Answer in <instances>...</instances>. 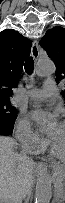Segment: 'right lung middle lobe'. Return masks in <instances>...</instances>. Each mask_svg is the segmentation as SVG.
I'll use <instances>...</instances> for the list:
<instances>
[{"label":"right lung middle lobe","instance_id":"obj_1","mask_svg":"<svg viewBox=\"0 0 65 203\" xmlns=\"http://www.w3.org/2000/svg\"><path fill=\"white\" fill-rule=\"evenodd\" d=\"M17 118V110L11 106L10 100H0V126L12 130Z\"/></svg>","mask_w":65,"mask_h":203}]
</instances>
